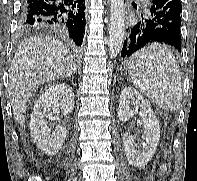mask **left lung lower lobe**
Masks as SVG:
<instances>
[{"label": "left lung lower lobe", "mask_w": 197, "mask_h": 181, "mask_svg": "<svg viewBox=\"0 0 197 181\" xmlns=\"http://www.w3.org/2000/svg\"><path fill=\"white\" fill-rule=\"evenodd\" d=\"M180 0H152L151 6L136 25L127 30L128 34L121 50L126 58L154 42H164L181 51Z\"/></svg>", "instance_id": "obj_1"}]
</instances>
